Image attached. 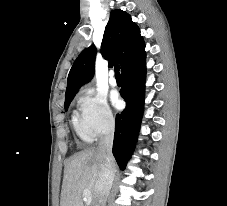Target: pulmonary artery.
<instances>
[{
  "label": "pulmonary artery",
  "mask_w": 227,
  "mask_h": 206,
  "mask_svg": "<svg viewBox=\"0 0 227 206\" xmlns=\"http://www.w3.org/2000/svg\"><path fill=\"white\" fill-rule=\"evenodd\" d=\"M109 84H110L112 87L117 86V80H116V78L114 77L113 74L110 75Z\"/></svg>",
  "instance_id": "1"
}]
</instances>
